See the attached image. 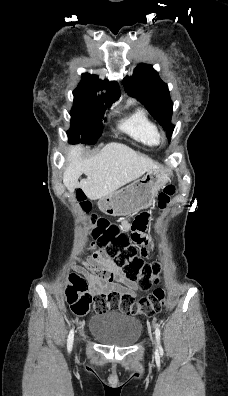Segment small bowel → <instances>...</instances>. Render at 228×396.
<instances>
[{
  "mask_svg": "<svg viewBox=\"0 0 228 396\" xmlns=\"http://www.w3.org/2000/svg\"><path fill=\"white\" fill-rule=\"evenodd\" d=\"M122 227L128 229V222L124 221ZM94 257L97 260H94ZM75 266L87 276L93 294H124L136 291L135 283L125 276L122 269L110 259L104 258L101 252L95 249L91 251L85 262H77ZM96 271L100 273H96Z\"/></svg>",
  "mask_w": 228,
  "mask_h": 396,
  "instance_id": "obj_1",
  "label": "small bowel"
}]
</instances>
